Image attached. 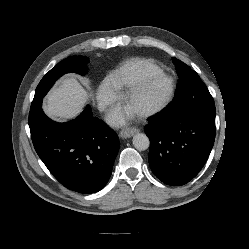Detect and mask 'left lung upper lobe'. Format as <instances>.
I'll return each mask as SVG.
<instances>
[{"label":"left lung upper lobe","instance_id":"obj_1","mask_svg":"<svg viewBox=\"0 0 249 249\" xmlns=\"http://www.w3.org/2000/svg\"><path fill=\"white\" fill-rule=\"evenodd\" d=\"M179 77L173 101L161 113L165 118H175L187 112L215 110L213 98L198 74L188 65L172 58Z\"/></svg>","mask_w":249,"mask_h":249}]
</instances>
